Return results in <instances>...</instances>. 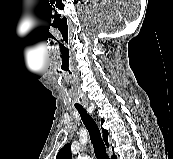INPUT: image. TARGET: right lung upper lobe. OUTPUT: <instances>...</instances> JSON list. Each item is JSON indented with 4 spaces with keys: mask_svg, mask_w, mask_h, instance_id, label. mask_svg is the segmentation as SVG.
<instances>
[{
    "mask_svg": "<svg viewBox=\"0 0 173 159\" xmlns=\"http://www.w3.org/2000/svg\"><path fill=\"white\" fill-rule=\"evenodd\" d=\"M104 120L102 119L101 120V123H103ZM103 131V139L106 143V145L109 147V144H108V139H107V136H108V131L105 130V129H102ZM72 158V154H71V148H70V144H66L60 151L59 153L57 154V157L56 159H71ZM112 159H116V156L113 155L112 156Z\"/></svg>",
    "mask_w": 173,
    "mask_h": 159,
    "instance_id": "1",
    "label": "right lung upper lobe"
}]
</instances>
